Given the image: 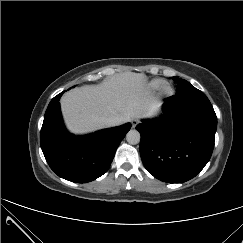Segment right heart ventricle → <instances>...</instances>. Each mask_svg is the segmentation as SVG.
<instances>
[{
	"label": "right heart ventricle",
	"mask_w": 243,
	"mask_h": 243,
	"mask_svg": "<svg viewBox=\"0 0 243 243\" xmlns=\"http://www.w3.org/2000/svg\"><path fill=\"white\" fill-rule=\"evenodd\" d=\"M164 81L160 78H155L152 79L148 84H147V89L149 91H156L158 90L162 85Z\"/></svg>",
	"instance_id": "e07e8e85"
}]
</instances>
